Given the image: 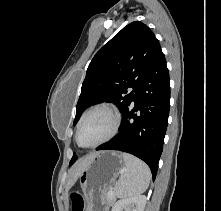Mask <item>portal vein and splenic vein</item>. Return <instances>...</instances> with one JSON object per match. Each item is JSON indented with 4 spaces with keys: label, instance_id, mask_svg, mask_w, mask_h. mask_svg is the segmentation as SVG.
I'll list each match as a JSON object with an SVG mask.
<instances>
[{
    "label": "portal vein and splenic vein",
    "instance_id": "portal-vein-and-splenic-vein-1",
    "mask_svg": "<svg viewBox=\"0 0 221 211\" xmlns=\"http://www.w3.org/2000/svg\"><path fill=\"white\" fill-rule=\"evenodd\" d=\"M108 196H109V197H113V196H114V192L112 191V188L109 190Z\"/></svg>",
    "mask_w": 221,
    "mask_h": 211
}]
</instances>
